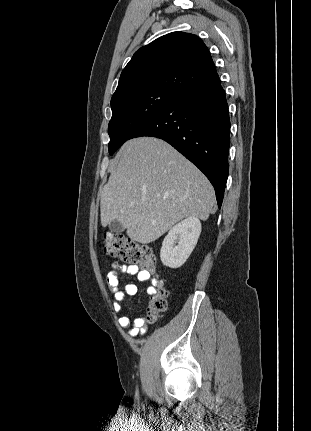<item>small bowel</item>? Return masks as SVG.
<instances>
[{"instance_id": "1", "label": "small bowel", "mask_w": 311, "mask_h": 431, "mask_svg": "<svg viewBox=\"0 0 311 431\" xmlns=\"http://www.w3.org/2000/svg\"><path fill=\"white\" fill-rule=\"evenodd\" d=\"M114 270L107 274L106 280L110 290L114 293L113 308L115 312H120L122 309V303L126 296H134L138 288L133 283L126 284L122 289L119 287L121 273L136 276L140 282H148L151 279V275L148 271L140 269L136 265H120L119 263H113ZM155 293L154 287L147 289V294L153 296ZM119 325L124 328H129L130 336H137L144 334L146 328V319L143 316L136 317L131 321L127 316H121L118 320Z\"/></svg>"}]
</instances>
